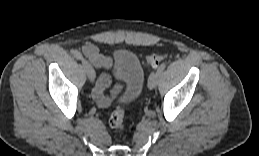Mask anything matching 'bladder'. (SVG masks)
I'll use <instances>...</instances> for the list:
<instances>
[{"label":"bladder","instance_id":"obj_1","mask_svg":"<svg viewBox=\"0 0 259 156\" xmlns=\"http://www.w3.org/2000/svg\"><path fill=\"white\" fill-rule=\"evenodd\" d=\"M116 76L126 81L121 96L123 104L135 102L141 94L144 83V71L138 57L131 52L118 55Z\"/></svg>","mask_w":259,"mask_h":156}]
</instances>
